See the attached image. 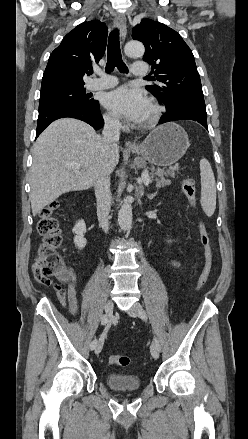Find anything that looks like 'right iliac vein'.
<instances>
[{
    "mask_svg": "<svg viewBox=\"0 0 248 439\" xmlns=\"http://www.w3.org/2000/svg\"><path fill=\"white\" fill-rule=\"evenodd\" d=\"M114 304L111 300H108L105 305V316L107 317V322L110 320L113 313ZM103 347V341H99L94 348L95 354H99Z\"/></svg>",
    "mask_w": 248,
    "mask_h": 439,
    "instance_id": "63e3f726",
    "label": "right iliac vein"
}]
</instances>
